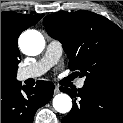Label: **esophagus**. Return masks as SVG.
Returning a JSON list of instances; mask_svg holds the SVG:
<instances>
[{
  "label": "esophagus",
  "mask_w": 123,
  "mask_h": 123,
  "mask_svg": "<svg viewBox=\"0 0 123 123\" xmlns=\"http://www.w3.org/2000/svg\"><path fill=\"white\" fill-rule=\"evenodd\" d=\"M59 92H60L59 86L56 85L54 89V93L58 94Z\"/></svg>",
  "instance_id": "34e87169"
}]
</instances>
